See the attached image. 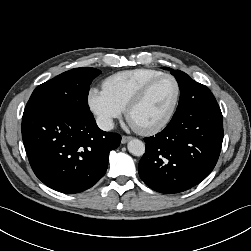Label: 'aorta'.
<instances>
[{
	"label": "aorta",
	"mask_w": 251,
	"mask_h": 251,
	"mask_svg": "<svg viewBox=\"0 0 251 251\" xmlns=\"http://www.w3.org/2000/svg\"><path fill=\"white\" fill-rule=\"evenodd\" d=\"M128 151L134 156H142L145 152V144L139 139H132L128 142Z\"/></svg>",
	"instance_id": "obj_1"
}]
</instances>
